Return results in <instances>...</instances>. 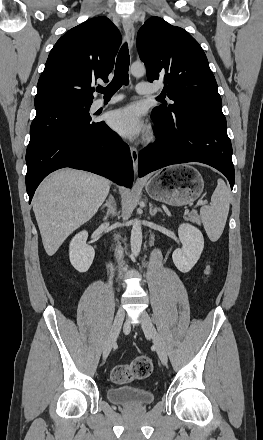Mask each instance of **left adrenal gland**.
<instances>
[{
    "label": "left adrenal gland",
    "mask_w": 263,
    "mask_h": 440,
    "mask_svg": "<svg viewBox=\"0 0 263 440\" xmlns=\"http://www.w3.org/2000/svg\"><path fill=\"white\" fill-rule=\"evenodd\" d=\"M157 212H161L162 213V209L157 208V207H153V205H150V215L151 216H155Z\"/></svg>",
    "instance_id": "1"
}]
</instances>
